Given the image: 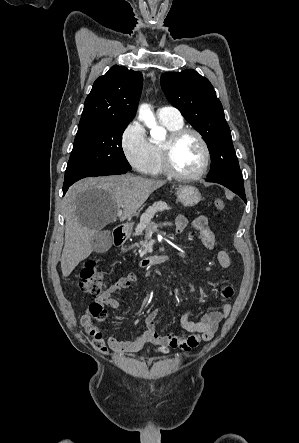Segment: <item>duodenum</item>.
I'll list each match as a JSON object with an SVG mask.
<instances>
[{"label": "duodenum", "mask_w": 299, "mask_h": 443, "mask_svg": "<svg viewBox=\"0 0 299 443\" xmlns=\"http://www.w3.org/2000/svg\"><path fill=\"white\" fill-rule=\"evenodd\" d=\"M126 231L127 229L125 225H118L113 230L112 236H113V243L115 246L120 247L125 243ZM169 258H170L169 255L143 257L139 260V266L142 269H146L149 268L150 266H153Z\"/></svg>", "instance_id": "1"}]
</instances>
